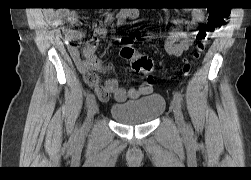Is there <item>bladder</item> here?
<instances>
[{
	"label": "bladder",
	"mask_w": 251,
	"mask_h": 180,
	"mask_svg": "<svg viewBox=\"0 0 251 180\" xmlns=\"http://www.w3.org/2000/svg\"><path fill=\"white\" fill-rule=\"evenodd\" d=\"M165 108V98L155 93L138 100L115 103L110 108V114L120 124L136 126L153 122L163 114Z\"/></svg>",
	"instance_id": "31cf9c89"
}]
</instances>
